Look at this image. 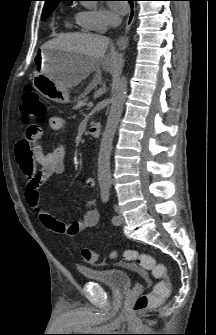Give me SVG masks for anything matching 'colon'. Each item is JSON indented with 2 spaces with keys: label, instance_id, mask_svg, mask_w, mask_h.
<instances>
[{
  "label": "colon",
  "instance_id": "1",
  "mask_svg": "<svg viewBox=\"0 0 216 335\" xmlns=\"http://www.w3.org/2000/svg\"><path fill=\"white\" fill-rule=\"evenodd\" d=\"M21 112L24 119L26 121L33 120V124H41L44 121L46 107L34 89L28 87L23 91ZM80 254L86 263L96 265L99 262L98 254L91 249L83 248ZM112 256H115V254H112ZM123 258L127 262L135 263L139 268L149 272L152 277L159 280L151 293L142 294L135 300L132 307L134 312H141L156 306L170 296L171 282L167 276L166 267L157 263L152 255L129 249L124 252Z\"/></svg>",
  "mask_w": 216,
  "mask_h": 335
}]
</instances>
